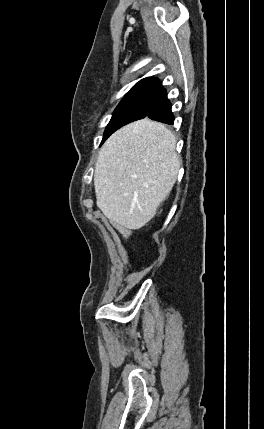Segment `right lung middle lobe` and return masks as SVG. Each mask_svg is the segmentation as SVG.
I'll use <instances>...</instances> for the list:
<instances>
[{
    "instance_id": "1",
    "label": "right lung middle lobe",
    "mask_w": 264,
    "mask_h": 429,
    "mask_svg": "<svg viewBox=\"0 0 264 429\" xmlns=\"http://www.w3.org/2000/svg\"><path fill=\"white\" fill-rule=\"evenodd\" d=\"M162 92L161 88L130 90L115 109L104 132L102 143L123 125L146 117Z\"/></svg>"
}]
</instances>
